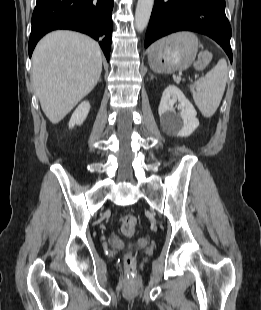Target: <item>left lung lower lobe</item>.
I'll use <instances>...</instances> for the list:
<instances>
[{"instance_id": "0a47b994", "label": "left lung lower lobe", "mask_w": 261, "mask_h": 310, "mask_svg": "<svg viewBox=\"0 0 261 310\" xmlns=\"http://www.w3.org/2000/svg\"><path fill=\"white\" fill-rule=\"evenodd\" d=\"M182 30L211 37L232 62L231 26L225 15V0H155L145 47L165 35Z\"/></svg>"}]
</instances>
